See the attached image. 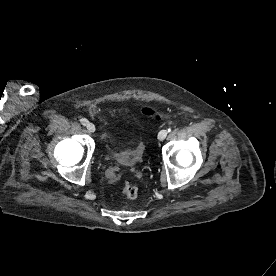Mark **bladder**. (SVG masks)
Listing matches in <instances>:
<instances>
[{
  "label": "bladder",
  "mask_w": 276,
  "mask_h": 276,
  "mask_svg": "<svg viewBox=\"0 0 276 276\" xmlns=\"http://www.w3.org/2000/svg\"><path fill=\"white\" fill-rule=\"evenodd\" d=\"M142 145L129 146L118 150H112L108 154L110 161L125 167H135L139 164L143 156Z\"/></svg>",
  "instance_id": "31cf9c89"
}]
</instances>
